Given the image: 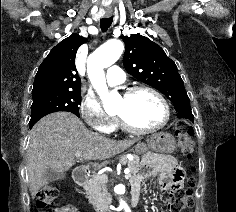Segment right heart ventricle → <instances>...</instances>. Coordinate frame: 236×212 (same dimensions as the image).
<instances>
[{
    "label": "right heart ventricle",
    "instance_id": "e07e8e85",
    "mask_svg": "<svg viewBox=\"0 0 236 212\" xmlns=\"http://www.w3.org/2000/svg\"><path fill=\"white\" fill-rule=\"evenodd\" d=\"M120 127L119 123L117 121L114 122V125L112 127V131L117 130Z\"/></svg>",
    "mask_w": 236,
    "mask_h": 212
}]
</instances>
